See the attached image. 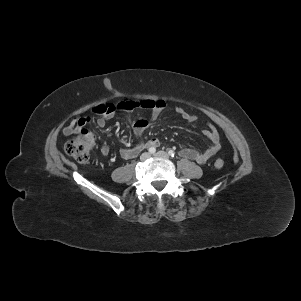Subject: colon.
Returning <instances> with one entry per match:
<instances>
[{
  "label": "colon",
  "mask_w": 301,
  "mask_h": 301,
  "mask_svg": "<svg viewBox=\"0 0 301 301\" xmlns=\"http://www.w3.org/2000/svg\"><path fill=\"white\" fill-rule=\"evenodd\" d=\"M94 145V137L88 130H81L77 135L66 142L64 146L65 152L80 163L89 161L91 151ZM216 168L224 167L222 159H216L214 162Z\"/></svg>",
  "instance_id": "1"
}]
</instances>
